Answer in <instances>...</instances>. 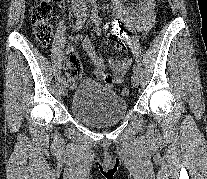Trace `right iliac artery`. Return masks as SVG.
I'll list each match as a JSON object with an SVG mask.
<instances>
[{"label": "right iliac artery", "mask_w": 207, "mask_h": 179, "mask_svg": "<svg viewBox=\"0 0 207 179\" xmlns=\"http://www.w3.org/2000/svg\"><path fill=\"white\" fill-rule=\"evenodd\" d=\"M86 16H87L86 14H81V16L78 18V20L76 21V25L74 27L75 31H78L83 27V25L86 21ZM61 82L66 83V79L64 77H62Z\"/></svg>", "instance_id": "82829eb1"}]
</instances>
